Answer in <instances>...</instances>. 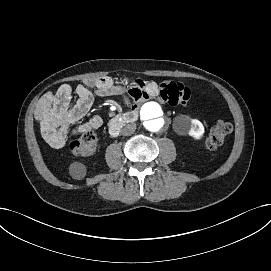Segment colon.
Listing matches in <instances>:
<instances>
[{
    "label": "colon",
    "instance_id": "5ec220e1",
    "mask_svg": "<svg viewBox=\"0 0 271 271\" xmlns=\"http://www.w3.org/2000/svg\"><path fill=\"white\" fill-rule=\"evenodd\" d=\"M232 131V124L226 120H218L205 139V146L214 149L221 146ZM98 141L93 131L84 133L70 145L71 152L76 157L94 155L97 152Z\"/></svg>",
    "mask_w": 271,
    "mask_h": 271
}]
</instances>
